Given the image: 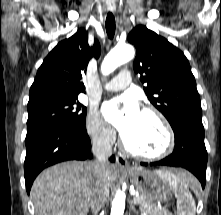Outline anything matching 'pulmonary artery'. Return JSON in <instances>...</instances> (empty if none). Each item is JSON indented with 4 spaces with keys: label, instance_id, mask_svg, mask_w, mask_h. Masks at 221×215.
I'll return each instance as SVG.
<instances>
[{
    "label": "pulmonary artery",
    "instance_id": "1",
    "mask_svg": "<svg viewBox=\"0 0 221 215\" xmlns=\"http://www.w3.org/2000/svg\"><path fill=\"white\" fill-rule=\"evenodd\" d=\"M131 73L127 69L121 70L117 76L107 82L104 86L109 91H119L126 88L131 83Z\"/></svg>",
    "mask_w": 221,
    "mask_h": 215
}]
</instances>
